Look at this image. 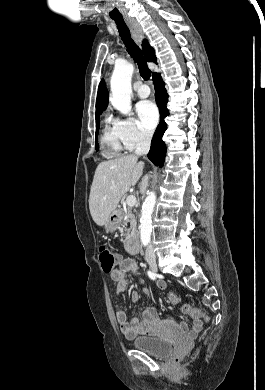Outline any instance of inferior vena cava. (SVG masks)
<instances>
[{"mask_svg": "<svg viewBox=\"0 0 265 390\" xmlns=\"http://www.w3.org/2000/svg\"><path fill=\"white\" fill-rule=\"evenodd\" d=\"M152 139V134L148 132H141L139 136V140L136 144V150L135 154L137 156L139 155H145L148 153L150 149V143ZM148 182V176L145 177V179L142 181V188H145L147 186ZM155 252L151 244L148 245L146 249V256H154Z\"/></svg>", "mask_w": 265, "mask_h": 390, "instance_id": "602c4592", "label": "inferior vena cava"}]
</instances>
